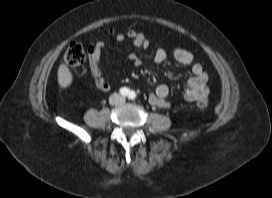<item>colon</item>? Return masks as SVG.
<instances>
[{
  "instance_id": "5ec220e1",
  "label": "colon",
  "mask_w": 272,
  "mask_h": 198,
  "mask_svg": "<svg viewBox=\"0 0 272 198\" xmlns=\"http://www.w3.org/2000/svg\"><path fill=\"white\" fill-rule=\"evenodd\" d=\"M86 54L84 47L80 43H70L64 54V62L71 69L80 68L85 62ZM209 106L207 98H201L197 101V107L206 109Z\"/></svg>"
}]
</instances>
